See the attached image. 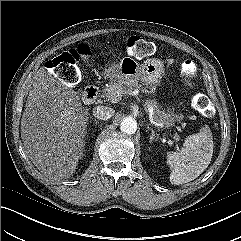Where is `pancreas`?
I'll use <instances>...</instances> for the list:
<instances>
[{
	"label": "pancreas",
	"instance_id": "1",
	"mask_svg": "<svg viewBox=\"0 0 241 241\" xmlns=\"http://www.w3.org/2000/svg\"><path fill=\"white\" fill-rule=\"evenodd\" d=\"M103 96L108 100H120L122 94L126 92V89L123 85L117 82H110L108 86H106L103 90ZM117 92H120V96L117 97ZM146 106L153 110V118L157 122H162L165 125H173L175 121L182 119V116H176L174 114L165 113V111L161 110L155 100H147Z\"/></svg>",
	"mask_w": 241,
	"mask_h": 241
}]
</instances>
